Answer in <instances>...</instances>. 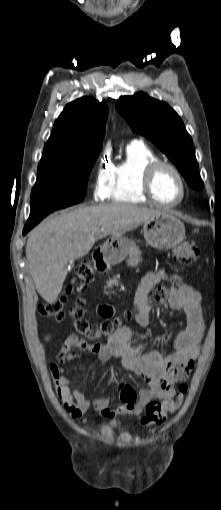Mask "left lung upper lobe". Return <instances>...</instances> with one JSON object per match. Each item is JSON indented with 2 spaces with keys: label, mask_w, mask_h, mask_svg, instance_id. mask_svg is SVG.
Masks as SVG:
<instances>
[{
  "label": "left lung upper lobe",
  "mask_w": 221,
  "mask_h": 510,
  "mask_svg": "<svg viewBox=\"0 0 221 510\" xmlns=\"http://www.w3.org/2000/svg\"><path fill=\"white\" fill-rule=\"evenodd\" d=\"M116 108L134 132L144 135L170 158L190 187L203 188L193 141L181 118L167 103L139 92L120 97Z\"/></svg>",
  "instance_id": "1"
}]
</instances>
